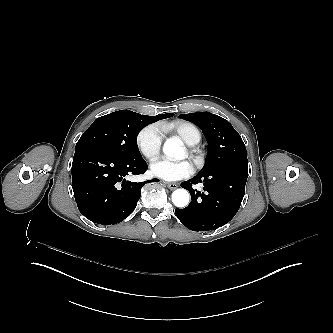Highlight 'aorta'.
<instances>
[{
  "label": "aorta",
  "mask_w": 333,
  "mask_h": 333,
  "mask_svg": "<svg viewBox=\"0 0 333 333\" xmlns=\"http://www.w3.org/2000/svg\"><path fill=\"white\" fill-rule=\"evenodd\" d=\"M163 153L168 157H178L183 153L181 141L177 138L167 139L162 147ZM172 202L177 207H185L189 203V193L185 189H176L172 193Z\"/></svg>",
  "instance_id": "obj_1"
}]
</instances>
